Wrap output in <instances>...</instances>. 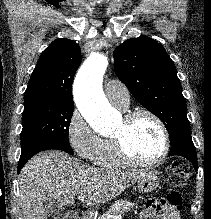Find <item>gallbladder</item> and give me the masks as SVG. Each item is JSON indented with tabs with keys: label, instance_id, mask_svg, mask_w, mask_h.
Masks as SVG:
<instances>
[{
	"label": "gallbladder",
	"instance_id": "gallbladder-1",
	"mask_svg": "<svg viewBox=\"0 0 211 219\" xmlns=\"http://www.w3.org/2000/svg\"><path fill=\"white\" fill-rule=\"evenodd\" d=\"M44 208L51 214L58 215L63 211L62 205L54 198H49L44 203Z\"/></svg>",
	"mask_w": 211,
	"mask_h": 219
}]
</instances>
